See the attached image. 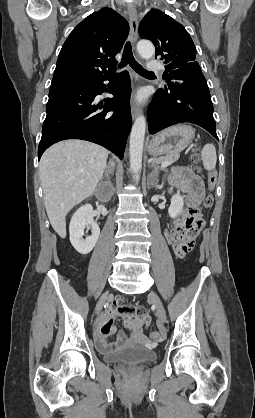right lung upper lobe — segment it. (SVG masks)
<instances>
[{"mask_svg":"<svg viewBox=\"0 0 255 418\" xmlns=\"http://www.w3.org/2000/svg\"><path fill=\"white\" fill-rule=\"evenodd\" d=\"M128 32V22L111 8L89 15L65 41L51 85L114 75L115 56L121 51Z\"/></svg>","mask_w":255,"mask_h":418,"instance_id":"right-lung-upper-lobe-1","label":"right lung upper lobe"}]
</instances>
